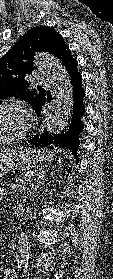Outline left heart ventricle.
<instances>
[{"label": "left heart ventricle", "mask_w": 113, "mask_h": 279, "mask_svg": "<svg viewBox=\"0 0 113 279\" xmlns=\"http://www.w3.org/2000/svg\"><path fill=\"white\" fill-rule=\"evenodd\" d=\"M23 128V116L11 106L0 107V138L17 135Z\"/></svg>", "instance_id": "left-heart-ventricle-1"}]
</instances>
